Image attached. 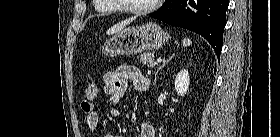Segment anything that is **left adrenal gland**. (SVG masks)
Instances as JSON below:
<instances>
[{"mask_svg":"<svg viewBox=\"0 0 280 137\" xmlns=\"http://www.w3.org/2000/svg\"><path fill=\"white\" fill-rule=\"evenodd\" d=\"M174 56H175V54H172L171 57H169V59L166 61V63H167L168 61H170V59H172ZM164 65H165V62H164V64H163V66H164ZM163 66H161V67L158 68V70H157V72H156V74H155V77H156L158 71H159Z\"/></svg>","mask_w":280,"mask_h":137,"instance_id":"a2214340","label":"left adrenal gland"}]
</instances>
